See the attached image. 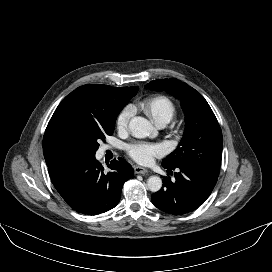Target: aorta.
Here are the masks:
<instances>
[{"label":"aorta","mask_w":272,"mask_h":272,"mask_svg":"<svg viewBox=\"0 0 272 272\" xmlns=\"http://www.w3.org/2000/svg\"><path fill=\"white\" fill-rule=\"evenodd\" d=\"M129 129L136 138H145L151 134L155 135L152 124L142 117H134L129 122ZM147 187L152 192H158L162 187V180L158 176H151L147 180Z\"/></svg>","instance_id":"1"}]
</instances>
